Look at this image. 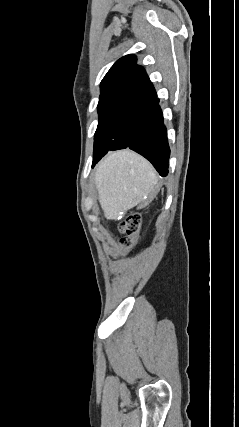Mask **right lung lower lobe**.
<instances>
[{
    "mask_svg": "<svg viewBox=\"0 0 239 427\" xmlns=\"http://www.w3.org/2000/svg\"><path fill=\"white\" fill-rule=\"evenodd\" d=\"M148 101L150 103L148 111L136 123L130 134L128 144L124 148H130L144 156L159 174L165 177L168 174L170 157L167 132L163 123L159 99L154 97Z\"/></svg>",
    "mask_w": 239,
    "mask_h": 427,
    "instance_id": "right-lung-lower-lobe-1",
    "label": "right lung lower lobe"
}]
</instances>
